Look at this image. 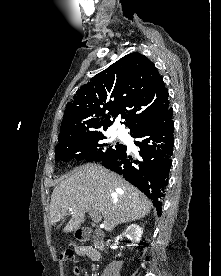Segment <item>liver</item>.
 <instances>
[{
  "instance_id": "liver-1",
  "label": "liver",
  "mask_w": 221,
  "mask_h": 276,
  "mask_svg": "<svg viewBox=\"0 0 221 276\" xmlns=\"http://www.w3.org/2000/svg\"><path fill=\"white\" fill-rule=\"evenodd\" d=\"M151 201L136 187L98 164L76 168L53 190L50 202V222L56 225L70 213L71 220L63 232L76 231L85 221V213H101L104 229L148 215Z\"/></svg>"
}]
</instances>
